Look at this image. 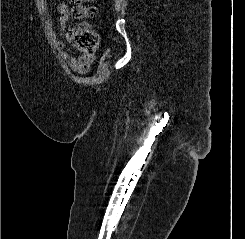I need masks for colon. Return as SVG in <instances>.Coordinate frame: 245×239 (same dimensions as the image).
I'll use <instances>...</instances> for the list:
<instances>
[{"instance_id":"5ec220e1","label":"colon","mask_w":245,"mask_h":239,"mask_svg":"<svg viewBox=\"0 0 245 239\" xmlns=\"http://www.w3.org/2000/svg\"><path fill=\"white\" fill-rule=\"evenodd\" d=\"M70 2L73 4L71 14L74 18H92L97 13L96 7L86 5L87 0H70ZM65 35L68 43L83 55L94 54L97 49V34L82 25L68 28Z\"/></svg>"}]
</instances>
